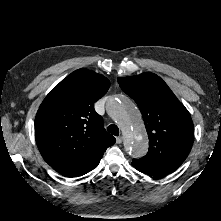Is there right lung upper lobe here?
Returning a JSON list of instances; mask_svg holds the SVG:
<instances>
[{
    "mask_svg": "<svg viewBox=\"0 0 221 221\" xmlns=\"http://www.w3.org/2000/svg\"><path fill=\"white\" fill-rule=\"evenodd\" d=\"M109 86L106 77L81 68L43 100L35 119V138L50 166L115 143L93 107Z\"/></svg>",
    "mask_w": 221,
    "mask_h": 221,
    "instance_id": "obj_1",
    "label": "right lung upper lobe"
}]
</instances>
